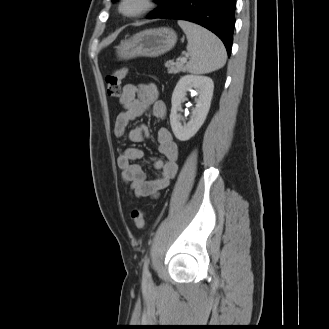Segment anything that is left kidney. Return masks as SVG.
<instances>
[{"label":"left kidney","instance_id":"obj_1","mask_svg":"<svg viewBox=\"0 0 329 329\" xmlns=\"http://www.w3.org/2000/svg\"><path fill=\"white\" fill-rule=\"evenodd\" d=\"M195 89L198 91L196 107L192 111L191 119L184 122L178 113L181 110V102L187 91ZM214 83L206 76L185 75L178 81L172 94V108L170 113V124L175 137L180 141H187L193 137L203 125L210 109L213 96ZM182 121L184 124H182Z\"/></svg>","mask_w":329,"mask_h":329}]
</instances>
